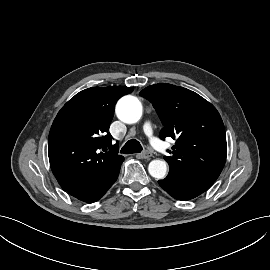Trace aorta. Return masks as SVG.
Returning a JSON list of instances; mask_svg holds the SVG:
<instances>
[{
    "label": "aorta",
    "mask_w": 270,
    "mask_h": 270,
    "mask_svg": "<svg viewBox=\"0 0 270 270\" xmlns=\"http://www.w3.org/2000/svg\"><path fill=\"white\" fill-rule=\"evenodd\" d=\"M117 117L127 124H133L142 116L140 101L131 95L122 97L116 105ZM148 171L156 179H164L167 172V164L163 160H153L149 163Z\"/></svg>",
    "instance_id": "1"
}]
</instances>
